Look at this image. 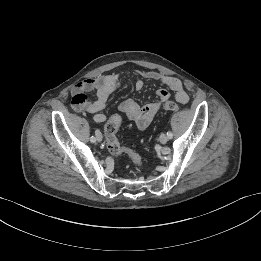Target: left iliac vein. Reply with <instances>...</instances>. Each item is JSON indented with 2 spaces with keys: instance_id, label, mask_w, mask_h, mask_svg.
<instances>
[{
  "instance_id": "left-iliac-vein-1",
  "label": "left iliac vein",
  "mask_w": 261,
  "mask_h": 261,
  "mask_svg": "<svg viewBox=\"0 0 261 261\" xmlns=\"http://www.w3.org/2000/svg\"><path fill=\"white\" fill-rule=\"evenodd\" d=\"M159 140L162 144H166L167 141H168V137L166 134H161L160 137H159Z\"/></svg>"
}]
</instances>
